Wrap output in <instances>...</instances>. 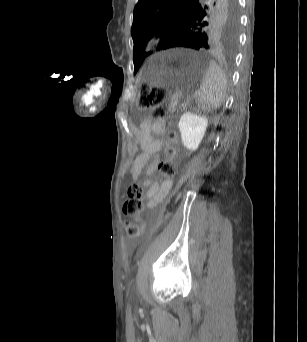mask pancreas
Segmentation results:
<instances>
[{
	"instance_id": "pancreas-1",
	"label": "pancreas",
	"mask_w": 307,
	"mask_h": 342,
	"mask_svg": "<svg viewBox=\"0 0 307 342\" xmlns=\"http://www.w3.org/2000/svg\"><path fill=\"white\" fill-rule=\"evenodd\" d=\"M171 107L174 109L176 106L173 104Z\"/></svg>"
}]
</instances>
